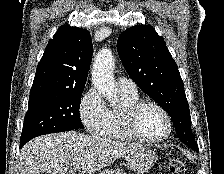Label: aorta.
<instances>
[{
    "mask_svg": "<svg viewBox=\"0 0 224 174\" xmlns=\"http://www.w3.org/2000/svg\"><path fill=\"white\" fill-rule=\"evenodd\" d=\"M114 65L115 61L112 51L108 48H103L95 56L92 69L94 86L112 104L119 101L117 87L114 83Z\"/></svg>",
    "mask_w": 224,
    "mask_h": 174,
    "instance_id": "obj_1",
    "label": "aorta"
}]
</instances>
